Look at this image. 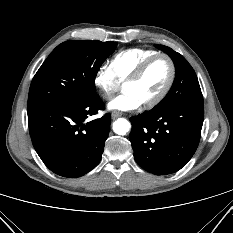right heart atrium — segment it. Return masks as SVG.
<instances>
[{
	"label": "right heart atrium",
	"mask_w": 233,
	"mask_h": 233,
	"mask_svg": "<svg viewBox=\"0 0 233 233\" xmlns=\"http://www.w3.org/2000/svg\"><path fill=\"white\" fill-rule=\"evenodd\" d=\"M94 84L105 99L111 98L120 88V83L112 75L108 67H102L96 72Z\"/></svg>",
	"instance_id": "right-heart-atrium-1"
}]
</instances>
